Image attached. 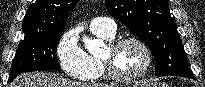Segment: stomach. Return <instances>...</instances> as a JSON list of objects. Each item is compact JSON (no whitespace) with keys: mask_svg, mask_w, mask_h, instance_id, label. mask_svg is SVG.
I'll return each mask as SVG.
<instances>
[{"mask_svg":"<svg viewBox=\"0 0 205 87\" xmlns=\"http://www.w3.org/2000/svg\"><path fill=\"white\" fill-rule=\"evenodd\" d=\"M160 86L165 87L164 84H152V83L143 81V82H138V83L134 84L132 87H160Z\"/></svg>","mask_w":205,"mask_h":87,"instance_id":"stomach-1","label":"stomach"}]
</instances>
